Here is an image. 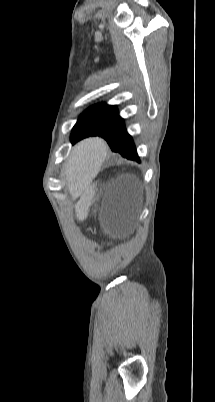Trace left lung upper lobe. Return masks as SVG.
<instances>
[{"mask_svg": "<svg viewBox=\"0 0 215 402\" xmlns=\"http://www.w3.org/2000/svg\"><path fill=\"white\" fill-rule=\"evenodd\" d=\"M118 115L116 106L105 103L93 105L85 110L78 118L72 129L70 136L71 142L80 137L91 135L98 128L110 122Z\"/></svg>", "mask_w": 215, "mask_h": 402, "instance_id": "1", "label": "left lung upper lobe"}]
</instances>
